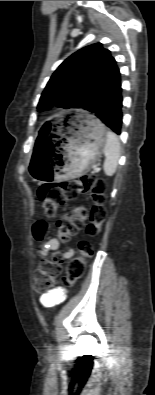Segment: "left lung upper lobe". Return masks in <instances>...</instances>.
<instances>
[{
	"instance_id": "1",
	"label": "left lung upper lobe",
	"mask_w": 155,
	"mask_h": 395,
	"mask_svg": "<svg viewBox=\"0 0 155 395\" xmlns=\"http://www.w3.org/2000/svg\"><path fill=\"white\" fill-rule=\"evenodd\" d=\"M116 67L111 52L101 43L78 50L53 73L41 95L38 109L46 110L55 104L65 109L79 108L80 103Z\"/></svg>"
}]
</instances>
